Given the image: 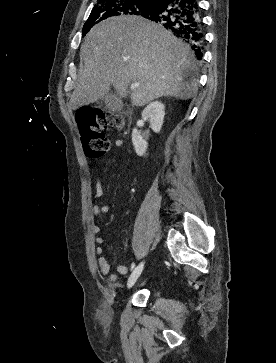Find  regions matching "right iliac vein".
<instances>
[{
	"mask_svg": "<svg viewBox=\"0 0 276 363\" xmlns=\"http://www.w3.org/2000/svg\"><path fill=\"white\" fill-rule=\"evenodd\" d=\"M141 266H144V262H141L132 272V274L130 275L128 282H127V287L131 288L135 282L137 281L138 277L141 274Z\"/></svg>",
	"mask_w": 276,
	"mask_h": 363,
	"instance_id": "1",
	"label": "right iliac vein"
}]
</instances>
